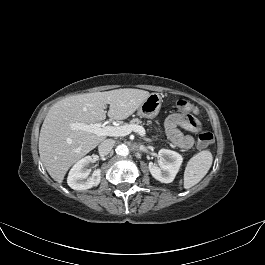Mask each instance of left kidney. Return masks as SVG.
Listing matches in <instances>:
<instances>
[{
    "mask_svg": "<svg viewBox=\"0 0 265 265\" xmlns=\"http://www.w3.org/2000/svg\"><path fill=\"white\" fill-rule=\"evenodd\" d=\"M158 164L149 163L151 175L162 183H171L178 173L183 158L175 151L161 149L158 152Z\"/></svg>",
    "mask_w": 265,
    "mask_h": 265,
    "instance_id": "1",
    "label": "left kidney"
}]
</instances>
